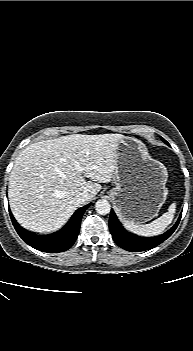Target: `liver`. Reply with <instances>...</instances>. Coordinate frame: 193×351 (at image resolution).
Listing matches in <instances>:
<instances>
[{
  "label": "liver",
  "mask_w": 193,
  "mask_h": 351,
  "mask_svg": "<svg viewBox=\"0 0 193 351\" xmlns=\"http://www.w3.org/2000/svg\"><path fill=\"white\" fill-rule=\"evenodd\" d=\"M122 138L121 134H73L23 149L9 178V203L16 220L39 233L61 228L81 205L79 192H88L92 200L101 189L99 183L114 180ZM75 164L83 170H76Z\"/></svg>",
  "instance_id": "6515ba94"
}]
</instances>
